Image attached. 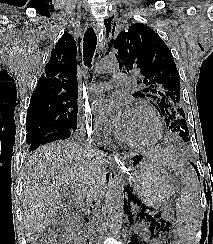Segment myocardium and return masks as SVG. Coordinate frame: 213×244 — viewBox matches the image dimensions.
Returning <instances> with one entry per match:
<instances>
[{
  "label": "myocardium",
  "instance_id": "obj_1",
  "mask_svg": "<svg viewBox=\"0 0 213 244\" xmlns=\"http://www.w3.org/2000/svg\"><path fill=\"white\" fill-rule=\"evenodd\" d=\"M131 111H134V112L141 111V112L147 113L153 119V121L156 125V135L153 138H151L149 140H145V141H130V140L123 138L122 136L119 135L118 132H116L115 133L116 139L120 143H122L126 146H130V147H150V146L157 144L163 136V126H162V122H161L157 112L155 111V109L147 104H140V105H136V106L132 107Z\"/></svg>",
  "mask_w": 213,
  "mask_h": 244
}]
</instances>
